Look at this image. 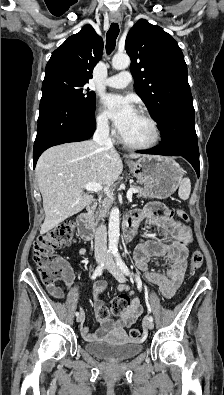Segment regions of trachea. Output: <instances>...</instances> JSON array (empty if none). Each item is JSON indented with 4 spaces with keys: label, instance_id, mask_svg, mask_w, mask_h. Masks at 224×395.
Listing matches in <instances>:
<instances>
[{
    "label": "trachea",
    "instance_id": "trachea-1",
    "mask_svg": "<svg viewBox=\"0 0 224 395\" xmlns=\"http://www.w3.org/2000/svg\"><path fill=\"white\" fill-rule=\"evenodd\" d=\"M118 35L119 25L117 23H112L106 35V51L108 54L114 50Z\"/></svg>",
    "mask_w": 224,
    "mask_h": 395
}]
</instances>
